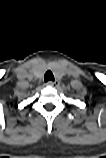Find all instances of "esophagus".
<instances>
[{
  "label": "esophagus",
  "mask_w": 106,
  "mask_h": 158,
  "mask_svg": "<svg viewBox=\"0 0 106 158\" xmlns=\"http://www.w3.org/2000/svg\"><path fill=\"white\" fill-rule=\"evenodd\" d=\"M58 84H59V82L56 81V80H55V81H48V82H47V85H48V86H55V85H58Z\"/></svg>",
  "instance_id": "obj_1"
}]
</instances>
